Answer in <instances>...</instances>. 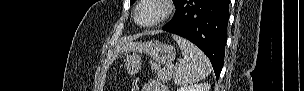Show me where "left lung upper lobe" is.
I'll list each match as a JSON object with an SVG mask.
<instances>
[{
    "label": "left lung upper lobe",
    "mask_w": 304,
    "mask_h": 91,
    "mask_svg": "<svg viewBox=\"0 0 304 91\" xmlns=\"http://www.w3.org/2000/svg\"><path fill=\"white\" fill-rule=\"evenodd\" d=\"M130 1H131V3H133L135 0H130ZM179 1H180V0H173L175 6L177 5V3H178Z\"/></svg>",
    "instance_id": "left-lung-upper-lobe-1"
}]
</instances>
